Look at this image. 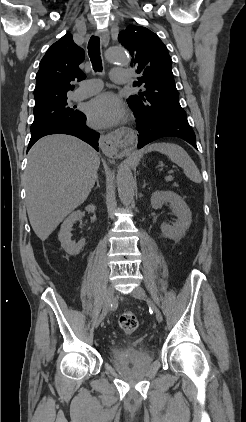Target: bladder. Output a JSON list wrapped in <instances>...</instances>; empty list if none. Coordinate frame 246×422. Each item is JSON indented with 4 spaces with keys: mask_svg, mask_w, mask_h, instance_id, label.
Listing matches in <instances>:
<instances>
[{
    "mask_svg": "<svg viewBox=\"0 0 246 422\" xmlns=\"http://www.w3.org/2000/svg\"><path fill=\"white\" fill-rule=\"evenodd\" d=\"M121 352H135V349L131 346L115 345L112 348V355H118Z\"/></svg>",
    "mask_w": 246,
    "mask_h": 422,
    "instance_id": "1",
    "label": "bladder"
}]
</instances>
